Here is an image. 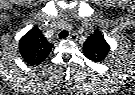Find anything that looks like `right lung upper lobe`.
Here are the masks:
<instances>
[{
	"mask_svg": "<svg viewBox=\"0 0 135 95\" xmlns=\"http://www.w3.org/2000/svg\"><path fill=\"white\" fill-rule=\"evenodd\" d=\"M52 47L53 45L47 41L37 26H34L19 41L20 55L31 66L42 63Z\"/></svg>",
	"mask_w": 135,
	"mask_h": 95,
	"instance_id": "right-lung-upper-lobe-1",
	"label": "right lung upper lobe"
}]
</instances>
